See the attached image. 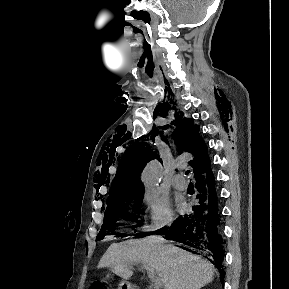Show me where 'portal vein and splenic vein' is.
<instances>
[{"label":"portal vein and splenic vein","mask_w":289,"mask_h":289,"mask_svg":"<svg viewBox=\"0 0 289 289\" xmlns=\"http://www.w3.org/2000/svg\"><path fill=\"white\" fill-rule=\"evenodd\" d=\"M142 268H145L147 270V273H148V275L151 278V281L153 283L154 289H160V287L162 286V283H161L160 279L157 277L154 269L150 268L146 264H144L142 266Z\"/></svg>","instance_id":"obj_1"}]
</instances>
